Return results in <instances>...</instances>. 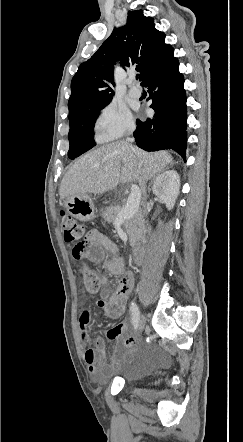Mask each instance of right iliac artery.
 Here are the masks:
<instances>
[{"label": "right iliac artery", "instance_id": "1", "mask_svg": "<svg viewBox=\"0 0 243 442\" xmlns=\"http://www.w3.org/2000/svg\"><path fill=\"white\" fill-rule=\"evenodd\" d=\"M130 312H131V316H132V323L134 325H137V322L139 320V310L137 305L134 302L130 303Z\"/></svg>", "mask_w": 243, "mask_h": 442}]
</instances>
